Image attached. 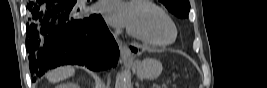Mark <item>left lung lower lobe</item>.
<instances>
[{"label":"left lung lower lobe","mask_w":267,"mask_h":88,"mask_svg":"<svg viewBox=\"0 0 267 88\" xmlns=\"http://www.w3.org/2000/svg\"><path fill=\"white\" fill-rule=\"evenodd\" d=\"M131 50H132L133 52H137V51H138V49H137V48H134V47H131Z\"/></svg>","instance_id":"left-lung-lower-lobe-1"}]
</instances>
